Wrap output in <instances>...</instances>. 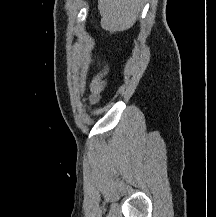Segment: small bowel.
<instances>
[{
  "instance_id": "1",
  "label": "small bowel",
  "mask_w": 216,
  "mask_h": 217,
  "mask_svg": "<svg viewBox=\"0 0 216 217\" xmlns=\"http://www.w3.org/2000/svg\"><path fill=\"white\" fill-rule=\"evenodd\" d=\"M108 71V65L106 64L92 80L91 85H90V90H91V96L90 100L92 102H97L100 97L101 91L105 88L106 86V80H105V75L107 74Z\"/></svg>"
}]
</instances>
